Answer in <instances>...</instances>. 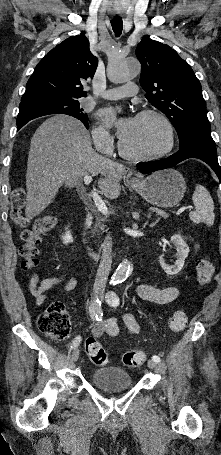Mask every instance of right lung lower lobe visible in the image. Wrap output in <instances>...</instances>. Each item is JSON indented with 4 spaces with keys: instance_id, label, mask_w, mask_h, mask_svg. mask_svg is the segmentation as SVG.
Returning a JSON list of instances; mask_svg holds the SVG:
<instances>
[{
    "instance_id": "obj_1",
    "label": "right lung lower lobe",
    "mask_w": 221,
    "mask_h": 455,
    "mask_svg": "<svg viewBox=\"0 0 221 455\" xmlns=\"http://www.w3.org/2000/svg\"><path fill=\"white\" fill-rule=\"evenodd\" d=\"M28 122V121H27ZM27 122H24L23 124L17 126V130H19L22 126H24Z\"/></svg>"
}]
</instances>
